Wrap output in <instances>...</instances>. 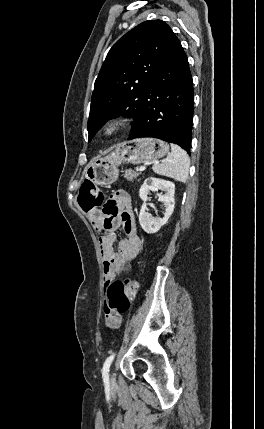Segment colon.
Segmentation results:
<instances>
[{
    "mask_svg": "<svg viewBox=\"0 0 264 429\" xmlns=\"http://www.w3.org/2000/svg\"><path fill=\"white\" fill-rule=\"evenodd\" d=\"M104 199L103 191L91 181L87 180L82 183L78 202L85 212L103 208ZM124 270L128 271L129 266H125ZM136 292L137 283L130 277L109 282L106 285L105 307L107 311L120 315L126 313L131 307Z\"/></svg>",
    "mask_w": 264,
    "mask_h": 429,
    "instance_id": "obj_1",
    "label": "colon"
}]
</instances>
